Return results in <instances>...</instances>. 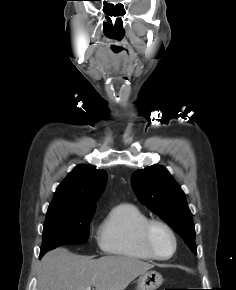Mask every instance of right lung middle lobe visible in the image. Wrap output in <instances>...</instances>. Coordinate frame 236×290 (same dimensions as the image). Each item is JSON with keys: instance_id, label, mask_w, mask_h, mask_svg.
Wrapping results in <instances>:
<instances>
[{"instance_id": "right-lung-middle-lobe-1", "label": "right lung middle lobe", "mask_w": 236, "mask_h": 290, "mask_svg": "<svg viewBox=\"0 0 236 290\" xmlns=\"http://www.w3.org/2000/svg\"><path fill=\"white\" fill-rule=\"evenodd\" d=\"M94 214L48 213L43 229L40 257L50 249L66 244H82L89 236V222Z\"/></svg>"}]
</instances>
